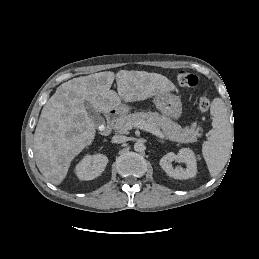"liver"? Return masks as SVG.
<instances>
[{"mask_svg": "<svg viewBox=\"0 0 259 259\" xmlns=\"http://www.w3.org/2000/svg\"><path fill=\"white\" fill-rule=\"evenodd\" d=\"M116 77L117 93L110 90ZM175 89L165 76L146 71L99 72L61 84L44 105L34 133L37 167L52 184L67 176L72 160L92 144L96 125L86 110L97 113L117 109L125 102L146 100Z\"/></svg>", "mask_w": 259, "mask_h": 259, "instance_id": "1", "label": "liver"}]
</instances>
